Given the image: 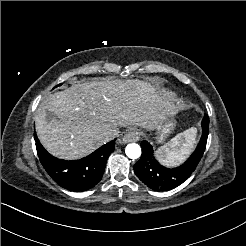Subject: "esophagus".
<instances>
[{"label": "esophagus", "instance_id": "esophagus-1", "mask_svg": "<svg viewBox=\"0 0 246 246\" xmlns=\"http://www.w3.org/2000/svg\"><path fill=\"white\" fill-rule=\"evenodd\" d=\"M139 139H140V132L135 128H131L122 138L123 141L122 143L137 142L139 141Z\"/></svg>", "mask_w": 246, "mask_h": 246}]
</instances>
